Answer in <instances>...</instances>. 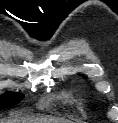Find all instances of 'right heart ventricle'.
I'll return each instance as SVG.
<instances>
[{
  "label": "right heart ventricle",
  "mask_w": 118,
  "mask_h": 123,
  "mask_svg": "<svg viewBox=\"0 0 118 123\" xmlns=\"http://www.w3.org/2000/svg\"><path fill=\"white\" fill-rule=\"evenodd\" d=\"M68 101H69L70 103H76V102H77V100H76L74 97H69V98H68Z\"/></svg>",
  "instance_id": "1"
}]
</instances>
